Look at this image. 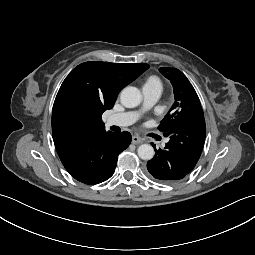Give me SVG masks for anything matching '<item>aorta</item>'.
Here are the masks:
<instances>
[{
  "mask_svg": "<svg viewBox=\"0 0 255 255\" xmlns=\"http://www.w3.org/2000/svg\"><path fill=\"white\" fill-rule=\"evenodd\" d=\"M120 101L126 108L137 107L142 101V95L136 87H126L122 90ZM154 149L149 144H142L138 147V156L143 160H150L154 157Z\"/></svg>",
  "mask_w": 255,
  "mask_h": 255,
  "instance_id": "1",
  "label": "aorta"
}]
</instances>
